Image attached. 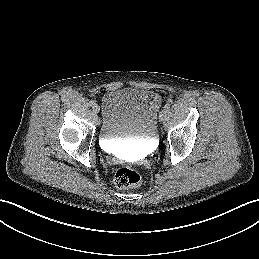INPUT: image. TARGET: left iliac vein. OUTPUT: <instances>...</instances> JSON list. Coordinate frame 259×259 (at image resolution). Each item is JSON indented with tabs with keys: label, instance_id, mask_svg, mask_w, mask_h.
Instances as JSON below:
<instances>
[{
	"label": "left iliac vein",
	"instance_id": "obj_1",
	"mask_svg": "<svg viewBox=\"0 0 259 259\" xmlns=\"http://www.w3.org/2000/svg\"><path fill=\"white\" fill-rule=\"evenodd\" d=\"M166 116H167V111L163 109L159 114V121L163 122Z\"/></svg>",
	"mask_w": 259,
	"mask_h": 259
}]
</instances>
